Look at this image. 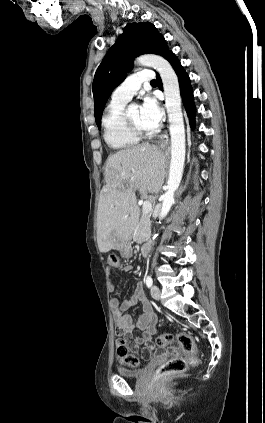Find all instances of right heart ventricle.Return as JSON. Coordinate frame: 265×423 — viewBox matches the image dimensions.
Listing matches in <instances>:
<instances>
[{
	"label": "right heart ventricle",
	"instance_id": "obj_1",
	"mask_svg": "<svg viewBox=\"0 0 265 423\" xmlns=\"http://www.w3.org/2000/svg\"><path fill=\"white\" fill-rule=\"evenodd\" d=\"M126 103L112 99L102 118L104 139L111 148L117 150L130 149L139 143V137L131 132L124 120Z\"/></svg>",
	"mask_w": 265,
	"mask_h": 423
}]
</instances>
